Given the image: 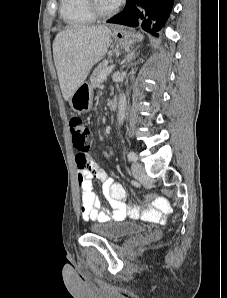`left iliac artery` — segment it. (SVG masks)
I'll use <instances>...</instances> for the list:
<instances>
[{
    "label": "left iliac artery",
    "mask_w": 227,
    "mask_h": 298,
    "mask_svg": "<svg viewBox=\"0 0 227 298\" xmlns=\"http://www.w3.org/2000/svg\"><path fill=\"white\" fill-rule=\"evenodd\" d=\"M127 158L130 161H136L137 156H136V154L134 152H129L128 155H127Z\"/></svg>",
    "instance_id": "1"
}]
</instances>
